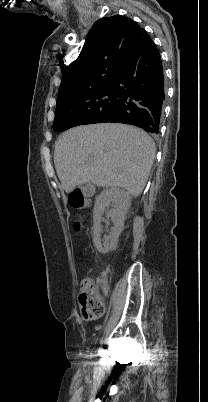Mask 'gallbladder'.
Listing matches in <instances>:
<instances>
[{
  "label": "gallbladder",
  "mask_w": 208,
  "mask_h": 402,
  "mask_svg": "<svg viewBox=\"0 0 208 402\" xmlns=\"http://www.w3.org/2000/svg\"><path fill=\"white\" fill-rule=\"evenodd\" d=\"M97 184L95 181H88L86 186H83V193L86 196L95 195Z\"/></svg>",
  "instance_id": "bac80fb5"
}]
</instances>
